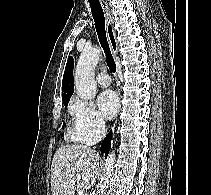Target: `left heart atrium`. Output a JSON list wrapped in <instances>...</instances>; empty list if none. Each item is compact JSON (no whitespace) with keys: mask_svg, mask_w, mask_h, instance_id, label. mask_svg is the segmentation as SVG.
<instances>
[{"mask_svg":"<svg viewBox=\"0 0 211 195\" xmlns=\"http://www.w3.org/2000/svg\"><path fill=\"white\" fill-rule=\"evenodd\" d=\"M97 104L101 114L107 119H112L119 109V100L113 91L100 93L97 98Z\"/></svg>","mask_w":211,"mask_h":195,"instance_id":"obj_1","label":"left heart atrium"}]
</instances>
